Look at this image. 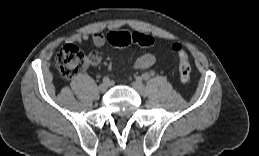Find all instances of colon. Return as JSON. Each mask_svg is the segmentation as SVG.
I'll return each instance as SVG.
<instances>
[{
    "mask_svg": "<svg viewBox=\"0 0 259 156\" xmlns=\"http://www.w3.org/2000/svg\"><path fill=\"white\" fill-rule=\"evenodd\" d=\"M108 41L119 48L136 44L148 47L153 44V38L141 32H110ZM171 49L179 57V75L183 84H187L191 78V66L188 55L180 43H173ZM56 66L65 79H71L84 71L88 65L85 54L77 46L64 45L56 54Z\"/></svg>",
    "mask_w": 259,
    "mask_h": 156,
    "instance_id": "obj_1",
    "label": "colon"
}]
</instances>
